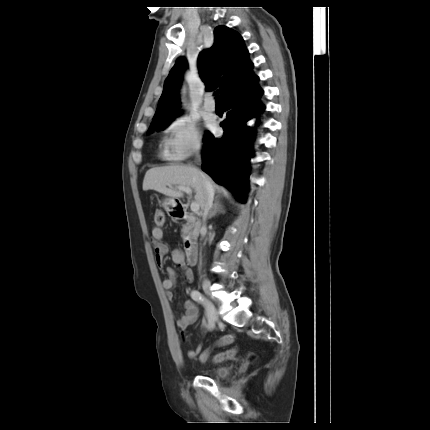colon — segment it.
Returning <instances> with one entry per match:
<instances>
[{"label":"colon","mask_w":430,"mask_h":430,"mask_svg":"<svg viewBox=\"0 0 430 430\" xmlns=\"http://www.w3.org/2000/svg\"><path fill=\"white\" fill-rule=\"evenodd\" d=\"M165 220V215L161 210H157L154 213V221L156 225H162L164 223ZM234 341V336L231 334H227L224 335L218 342L217 345H229ZM235 354V350L234 349H230L227 350L225 352H220L216 355H214L211 359V362L214 364H218L221 363L225 360H228L230 358H232ZM209 356H210V351L209 349L205 350L201 355H200V361L202 363H206L209 361Z\"/></svg>","instance_id":"obj_1"}]
</instances>
